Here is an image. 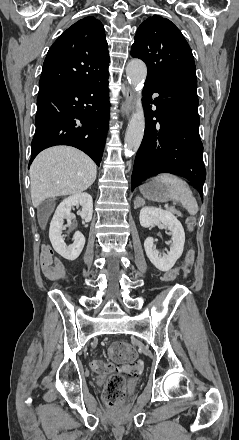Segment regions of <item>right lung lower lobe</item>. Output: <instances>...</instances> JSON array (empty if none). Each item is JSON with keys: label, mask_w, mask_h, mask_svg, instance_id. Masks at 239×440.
Wrapping results in <instances>:
<instances>
[{"label": "right lung lower lobe", "mask_w": 239, "mask_h": 440, "mask_svg": "<svg viewBox=\"0 0 239 440\" xmlns=\"http://www.w3.org/2000/svg\"><path fill=\"white\" fill-rule=\"evenodd\" d=\"M108 76L39 88L29 164L48 147L70 145L99 166L109 125Z\"/></svg>", "instance_id": "right-lung-lower-lobe-1"}]
</instances>
